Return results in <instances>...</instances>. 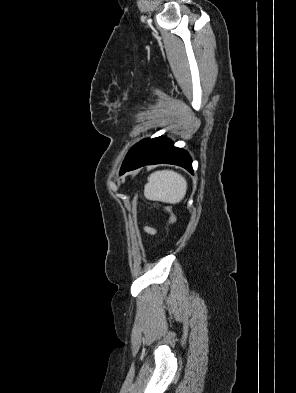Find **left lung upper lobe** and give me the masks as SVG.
Wrapping results in <instances>:
<instances>
[{
	"instance_id": "obj_1",
	"label": "left lung upper lobe",
	"mask_w": 296,
	"mask_h": 393,
	"mask_svg": "<svg viewBox=\"0 0 296 393\" xmlns=\"http://www.w3.org/2000/svg\"><path fill=\"white\" fill-rule=\"evenodd\" d=\"M133 148H134V147H133ZM133 148H131V150H130L129 153L127 154V156H126V158H125V160H124V163H123V165H122L121 170L123 169V167H124V165H125V163H126L128 157H129L130 153L132 152Z\"/></svg>"
}]
</instances>
